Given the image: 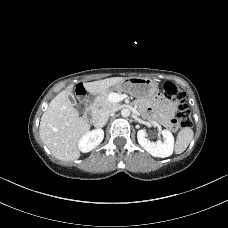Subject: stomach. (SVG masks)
<instances>
[{
    "label": "stomach",
    "mask_w": 228,
    "mask_h": 228,
    "mask_svg": "<svg viewBox=\"0 0 228 228\" xmlns=\"http://www.w3.org/2000/svg\"><path fill=\"white\" fill-rule=\"evenodd\" d=\"M157 89L158 83L150 78L128 77L109 88L104 94L109 93L110 90H116L135 97L147 98L155 94Z\"/></svg>",
    "instance_id": "obj_1"
}]
</instances>
